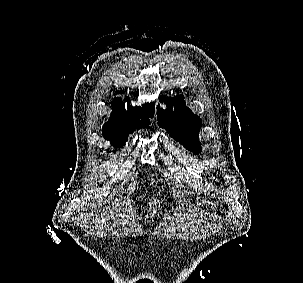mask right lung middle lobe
Returning <instances> with one entry per match:
<instances>
[{
  "label": "right lung middle lobe",
  "mask_w": 303,
  "mask_h": 283,
  "mask_svg": "<svg viewBox=\"0 0 303 283\" xmlns=\"http://www.w3.org/2000/svg\"><path fill=\"white\" fill-rule=\"evenodd\" d=\"M134 130L130 131L132 133ZM119 134V133H103L105 139L110 140V143L114 147H122L128 137V134Z\"/></svg>",
  "instance_id": "obj_1"
}]
</instances>
